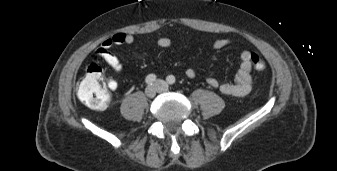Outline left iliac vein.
I'll list each match as a JSON object with an SVG mask.
<instances>
[{
    "instance_id": "left-iliac-vein-1",
    "label": "left iliac vein",
    "mask_w": 337,
    "mask_h": 171,
    "mask_svg": "<svg viewBox=\"0 0 337 171\" xmlns=\"http://www.w3.org/2000/svg\"><path fill=\"white\" fill-rule=\"evenodd\" d=\"M155 86L157 87L158 92H165L168 90L167 83L160 79L156 80Z\"/></svg>"
}]
</instances>
